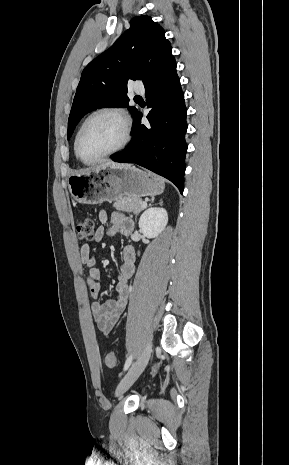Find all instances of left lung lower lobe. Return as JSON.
<instances>
[{
  "mask_svg": "<svg viewBox=\"0 0 289 465\" xmlns=\"http://www.w3.org/2000/svg\"><path fill=\"white\" fill-rule=\"evenodd\" d=\"M147 119L150 126L141 124L142 114L134 117L130 146L111 155L120 163H136L172 181L183 193L187 131L184 94L174 69L163 79L145 87Z\"/></svg>",
  "mask_w": 289,
  "mask_h": 465,
  "instance_id": "obj_1",
  "label": "left lung lower lobe"
}]
</instances>
